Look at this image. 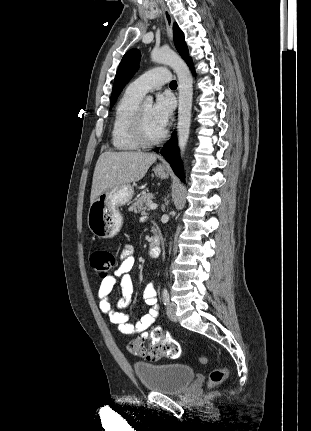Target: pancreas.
Masks as SVG:
<instances>
[{"label": "pancreas", "mask_w": 311, "mask_h": 431, "mask_svg": "<svg viewBox=\"0 0 311 431\" xmlns=\"http://www.w3.org/2000/svg\"><path fill=\"white\" fill-rule=\"evenodd\" d=\"M154 198L153 194H144L141 198H138L134 204H131L128 208L129 212H134V214H139V212H148V202Z\"/></svg>", "instance_id": "1"}]
</instances>
